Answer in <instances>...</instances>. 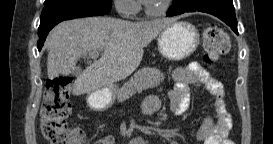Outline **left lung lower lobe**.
<instances>
[{
  "mask_svg": "<svg viewBox=\"0 0 273 144\" xmlns=\"http://www.w3.org/2000/svg\"><path fill=\"white\" fill-rule=\"evenodd\" d=\"M206 12L224 21L238 34L232 0H175L167 12L168 17L184 12Z\"/></svg>",
  "mask_w": 273,
  "mask_h": 144,
  "instance_id": "obj_1",
  "label": "left lung lower lobe"
}]
</instances>
